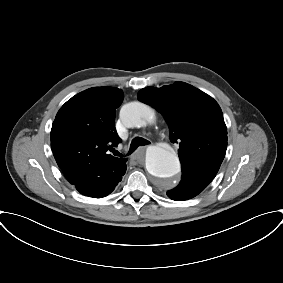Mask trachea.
Wrapping results in <instances>:
<instances>
[{
	"label": "trachea",
	"mask_w": 283,
	"mask_h": 283,
	"mask_svg": "<svg viewBox=\"0 0 283 283\" xmlns=\"http://www.w3.org/2000/svg\"><path fill=\"white\" fill-rule=\"evenodd\" d=\"M150 144V142L142 137H135L131 144H130V148H129V152L128 155L132 154L139 146H145ZM115 155L116 156H120L121 154L117 151H115Z\"/></svg>",
	"instance_id": "3493384b"
}]
</instances>
